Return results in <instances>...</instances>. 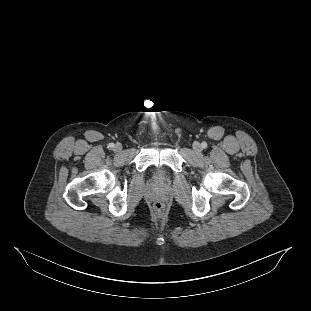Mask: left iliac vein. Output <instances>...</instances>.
<instances>
[{
    "label": "left iliac vein",
    "instance_id": "left-iliac-vein-1",
    "mask_svg": "<svg viewBox=\"0 0 311 311\" xmlns=\"http://www.w3.org/2000/svg\"><path fill=\"white\" fill-rule=\"evenodd\" d=\"M193 148H194V150H195L196 152L201 151V145H200L198 142H195V143L193 144Z\"/></svg>",
    "mask_w": 311,
    "mask_h": 311
}]
</instances>
